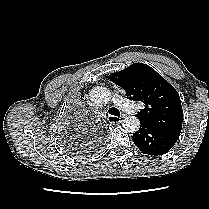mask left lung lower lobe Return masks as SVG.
<instances>
[{
  "label": "left lung lower lobe",
  "mask_w": 209,
  "mask_h": 209,
  "mask_svg": "<svg viewBox=\"0 0 209 209\" xmlns=\"http://www.w3.org/2000/svg\"><path fill=\"white\" fill-rule=\"evenodd\" d=\"M180 134L160 130L141 122L140 129L133 134L135 145L148 155H163L177 142Z\"/></svg>",
  "instance_id": "left-lung-lower-lobe-1"
}]
</instances>
